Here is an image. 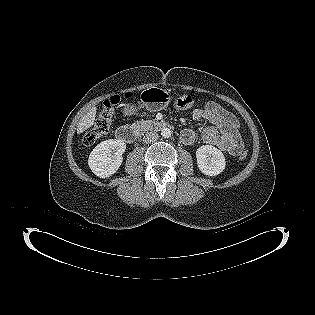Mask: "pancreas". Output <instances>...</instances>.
<instances>
[{"label":"pancreas","mask_w":315,"mask_h":315,"mask_svg":"<svg viewBox=\"0 0 315 315\" xmlns=\"http://www.w3.org/2000/svg\"><path fill=\"white\" fill-rule=\"evenodd\" d=\"M137 125H138V127H139L141 130H146L147 127H148V124H147V122H145V121H141V122L137 123Z\"/></svg>","instance_id":"obj_1"}]
</instances>
